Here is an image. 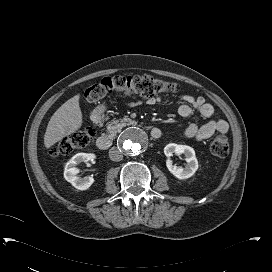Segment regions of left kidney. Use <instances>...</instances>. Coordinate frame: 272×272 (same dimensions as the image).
Instances as JSON below:
<instances>
[{"label":"left kidney","mask_w":272,"mask_h":272,"mask_svg":"<svg viewBox=\"0 0 272 272\" xmlns=\"http://www.w3.org/2000/svg\"><path fill=\"white\" fill-rule=\"evenodd\" d=\"M173 153L184 154L185 161L187 162L184 168L172 164L170 157ZM164 154L168 157L166 162L168 170L180 180L190 178L198 169V160L196 158L195 151L190 146L170 143L165 146Z\"/></svg>","instance_id":"obj_1"}]
</instances>
